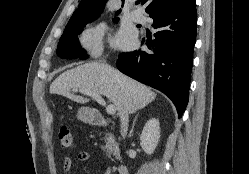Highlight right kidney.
Instances as JSON below:
<instances>
[{"label": "right kidney", "instance_id": "ca27d5eb", "mask_svg": "<svg viewBox=\"0 0 249 174\" xmlns=\"http://www.w3.org/2000/svg\"><path fill=\"white\" fill-rule=\"evenodd\" d=\"M160 138L159 120L152 118L144 126L140 135V145L142 149L151 155Z\"/></svg>", "mask_w": 249, "mask_h": 174}]
</instances>
